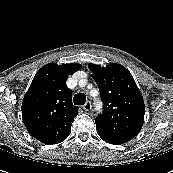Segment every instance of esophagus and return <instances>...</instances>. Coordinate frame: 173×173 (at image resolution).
I'll return each mask as SVG.
<instances>
[{"label":"esophagus","instance_id":"esophagus-1","mask_svg":"<svg viewBox=\"0 0 173 173\" xmlns=\"http://www.w3.org/2000/svg\"><path fill=\"white\" fill-rule=\"evenodd\" d=\"M82 107L85 111H90L92 108L91 102L87 101Z\"/></svg>","mask_w":173,"mask_h":173}]
</instances>
